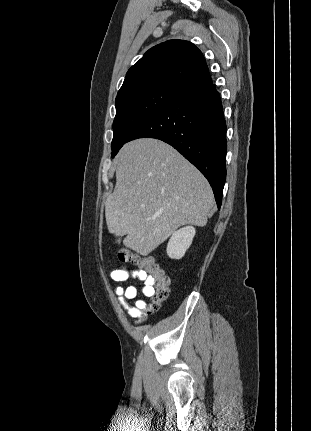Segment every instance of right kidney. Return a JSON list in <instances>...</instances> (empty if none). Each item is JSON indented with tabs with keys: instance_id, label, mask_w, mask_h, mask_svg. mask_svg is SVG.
<instances>
[{
	"instance_id": "obj_1",
	"label": "right kidney",
	"mask_w": 311,
	"mask_h": 431,
	"mask_svg": "<svg viewBox=\"0 0 311 431\" xmlns=\"http://www.w3.org/2000/svg\"><path fill=\"white\" fill-rule=\"evenodd\" d=\"M195 233L196 229L192 225H186V227H180V229L174 231L167 245L169 257H172V259L183 257L186 249L190 247Z\"/></svg>"
}]
</instances>
